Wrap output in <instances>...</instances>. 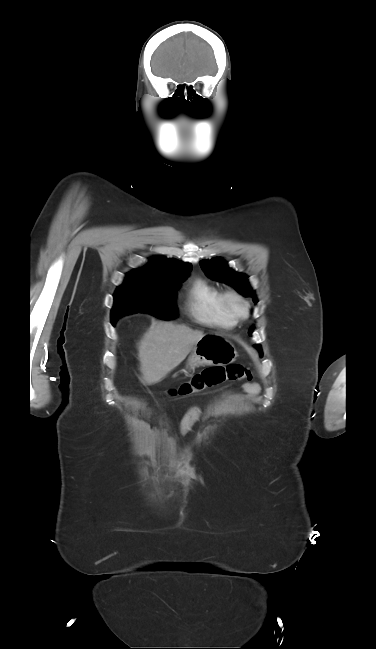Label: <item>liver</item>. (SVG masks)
<instances>
[{"mask_svg":"<svg viewBox=\"0 0 376 649\" xmlns=\"http://www.w3.org/2000/svg\"><path fill=\"white\" fill-rule=\"evenodd\" d=\"M204 336L202 331L171 322H155L138 344L140 378L143 384L160 382L190 353Z\"/></svg>","mask_w":376,"mask_h":649,"instance_id":"1","label":"liver"}]
</instances>
